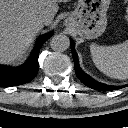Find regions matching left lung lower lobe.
<instances>
[{
	"instance_id": "obj_1",
	"label": "left lung lower lobe",
	"mask_w": 128,
	"mask_h": 128,
	"mask_svg": "<svg viewBox=\"0 0 128 128\" xmlns=\"http://www.w3.org/2000/svg\"><path fill=\"white\" fill-rule=\"evenodd\" d=\"M71 51H72V56H73V60H74L75 73H76L77 77L80 79V81L82 83H84L86 86L96 89V90H101V91H112V90H116V89L123 87V86L122 87L109 86V85L99 83V82L93 80L86 73H84L79 66L78 56L75 51L74 41L72 39H71Z\"/></svg>"
}]
</instances>
